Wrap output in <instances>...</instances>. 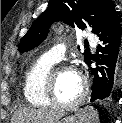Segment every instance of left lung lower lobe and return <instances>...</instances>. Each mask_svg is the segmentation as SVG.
<instances>
[{"label": "left lung lower lobe", "mask_w": 122, "mask_h": 123, "mask_svg": "<svg viewBox=\"0 0 122 123\" xmlns=\"http://www.w3.org/2000/svg\"><path fill=\"white\" fill-rule=\"evenodd\" d=\"M98 37L102 43L97 47V55H91L87 62L88 66L92 62L97 64V68H91V102L114 99L121 83L122 30L116 14L110 18Z\"/></svg>", "instance_id": "obj_1"}]
</instances>
